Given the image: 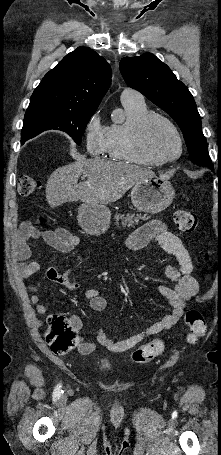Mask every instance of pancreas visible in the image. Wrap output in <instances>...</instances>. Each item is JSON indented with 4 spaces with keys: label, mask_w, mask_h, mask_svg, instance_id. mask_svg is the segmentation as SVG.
I'll return each mask as SVG.
<instances>
[{
    "label": "pancreas",
    "mask_w": 221,
    "mask_h": 455,
    "mask_svg": "<svg viewBox=\"0 0 221 455\" xmlns=\"http://www.w3.org/2000/svg\"><path fill=\"white\" fill-rule=\"evenodd\" d=\"M115 220L117 225H119L120 221V224L123 227H134V225H137L140 220H147V217L141 214H116Z\"/></svg>",
    "instance_id": "1"
}]
</instances>
